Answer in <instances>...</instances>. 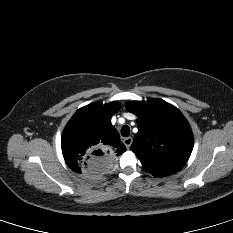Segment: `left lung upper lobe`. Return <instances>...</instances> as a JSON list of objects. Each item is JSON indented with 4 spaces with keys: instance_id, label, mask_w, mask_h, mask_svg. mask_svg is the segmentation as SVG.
Here are the masks:
<instances>
[{
    "instance_id": "5c2ea615",
    "label": "left lung upper lobe",
    "mask_w": 233,
    "mask_h": 233,
    "mask_svg": "<svg viewBox=\"0 0 233 233\" xmlns=\"http://www.w3.org/2000/svg\"><path fill=\"white\" fill-rule=\"evenodd\" d=\"M126 109L137 115L138 133L131 150L146 171L161 177L179 171L193 148V134L183 114L161 99L129 101Z\"/></svg>"
}]
</instances>
